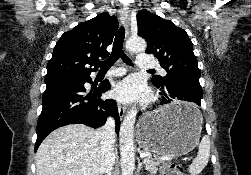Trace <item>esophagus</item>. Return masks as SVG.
<instances>
[{
    "label": "esophagus",
    "mask_w": 251,
    "mask_h": 175,
    "mask_svg": "<svg viewBox=\"0 0 251 175\" xmlns=\"http://www.w3.org/2000/svg\"><path fill=\"white\" fill-rule=\"evenodd\" d=\"M121 24L125 27L126 39L129 37L130 33V17L127 12H122L120 15ZM119 117L123 118L126 113V107L124 105L118 104Z\"/></svg>",
    "instance_id": "esophagus-1"
}]
</instances>
